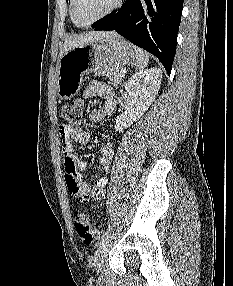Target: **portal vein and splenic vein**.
<instances>
[{
	"mask_svg": "<svg viewBox=\"0 0 233 286\" xmlns=\"http://www.w3.org/2000/svg\"><path fill=\"white\" fill-rule=\"evenodd\" d=\"M124 76H125V72H124V71H121V72H120V77L124 78Z\"/></svg>",
	"mask_w": 233,
	"mask_h": 286,
	"instance_id": "portal-vein-and-splenic-vein-1",
	"label": "portal vein and splenic vein"
}]
</instances>
